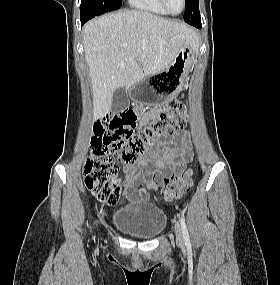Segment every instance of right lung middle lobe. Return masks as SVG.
Returning a JSON list of instances; mask_svg holds the SVG:
<instances>
[{"label":"right lung middle lobe","mask_w":280,"mask_h":285,"mask_svg":"<svg viewBox=\"0 0 280 285\" xmlns=\"http://www.w3.org/2000/svg\"><path fill=\"white\" fill-rule=\"evenodd\" d=\"M122 0H82L80 5L81 19L89 20L103 13L117 10Z\"/></svg>","instance_id":"obj_1"}]
</instances>
